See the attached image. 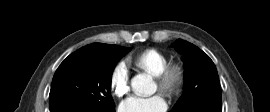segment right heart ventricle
<instances>
[{
  "instance_id": "obj_1",
  "label": "right heart ventricle",
  "mask_w": 270,
  "mask_h": 112,
  "mask_svg": "<svg viewBox=\"0 0 270 112\" xmlns=\"http://www.w3.org/2000/svg\"><path fill=\"white\" fill-rule=\"evenodd\" d=\"M129 62L136 69L151 76H156L167 65L168 57L157 49L148 48L134 55Z\"/></svg>"
}]
</instances>
